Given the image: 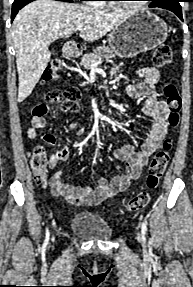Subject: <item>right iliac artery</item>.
Here are the masks:
<instances>
[{"mask_svg": "<svg viewBox=\"0 0 193 287\" xmlns=\"http://www.w3.org/2000/svg\"><path fill=\"white\" fill-rule=\"evenodd\" d=\"M46 232H47V237H46V242L48 241V230L46 229Z\"/></svg>", "mask_w": 193, "mask_h": 287, "instance_id": "82829eb1", "label": "right iliac artery"}]
</instances>
